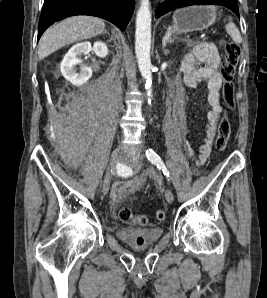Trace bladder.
<instances>
[{"mask_svg":"<svg viewBox=\"0 0 267 298\" xmlns=\"http://www.w3.org/2000/svg\"><path fill=\"white\" fill-rule=\"evenodd\" d=\"M163 231L162 227H121L116 231V235L131 247L142 249L155 244L162 237Z\"/></svg>","mask_w":267,"mask_h":298,"instance_id":"obj_1","label":"bladder"}]
</instances>
